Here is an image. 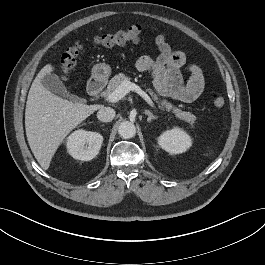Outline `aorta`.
Listing matches in <instances>:
<instances>
[{"mask_svg": "<svg viewBox=\"0 0 265 265\" xmlns=\"http://www.w3.org/2000/svg\"><path fill=\"white\" fill-rule=\"evenodd\" d=\"M119 135L124 139H130L135 136L136 128L132 122L124 121L119 125Z\"/></svg>", "mask_w": 265, "mask_h": 265, "instance_id": "obj_1", "label": "aorta"}]
</instances>
